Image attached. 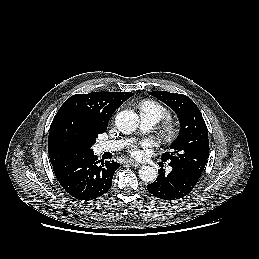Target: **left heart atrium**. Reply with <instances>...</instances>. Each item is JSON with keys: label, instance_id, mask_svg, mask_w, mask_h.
<instances>
[{"label": "left heart atrium", "instance_id": "39dd6f15", "mask_svg": "<svg viewBox=\"0 0 259 259\" xmlns=\"http://www.w3.org/2000/svg\"><path fill=\"white\" fill-rule=\"evenodd\" d=\"M130 153L133 156H138L139 155V151L135 147L131 148Z\"/></svg>", "mask_w": 259, "mask_h": 259}]
</instances>
